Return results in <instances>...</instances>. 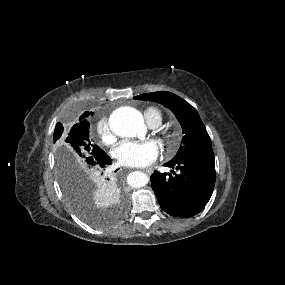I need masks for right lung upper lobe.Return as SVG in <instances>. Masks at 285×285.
I'll return each mask as SVG.
<instances>
[{
  "label": "right lung upper lobe",
  "instance_id": "1",
  "mask_svg": "<svg viewBox=\"0 0 285 285\" xmlns=\"http://www.w3.org/2000/svg\"><path fill=\"white\" fill-rule=\"evenodd\" d=\"M87 113H89V112L83 113L79 120H80V121L84 120V119L86 118L85 115H86ZM91 113H92V112H91ZM89 114H90V113H89ZM103 181H104V180H103ZM104 183H107V182L104 181ZM102 188H104V187H99V189H102Z\"/></svg>",
  "mask_w": 285,
  "mask_h": 285
}]
</instances>
